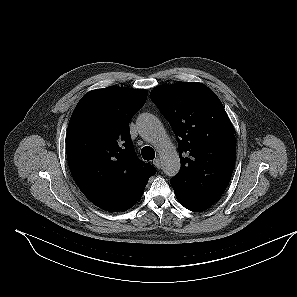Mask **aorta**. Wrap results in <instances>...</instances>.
Here are the masks:
<instances>
[{
    "mask_svg": "<svg viewBox=\"0 0 297 297\" xmlns=\"http://www.w3.org/2000/svg\"><path fill=\"white\" fill-rule=\"evenodd\" d=\"M137 127L141 137L158 151L163 172L170 177L175 176L181 167L180 158L159 119L149 113L141 114Z\"/></svg>",
    "mask_w": 297,
    "mask_h": 297,
    "instance_id": "obj_1",
    "label": "aorta"
}]
</instances>
